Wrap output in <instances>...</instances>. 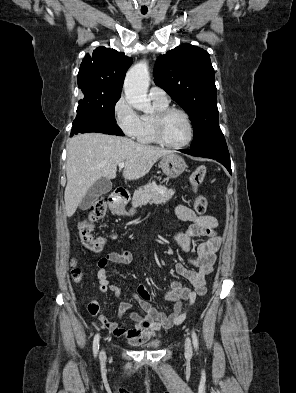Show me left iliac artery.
Wrapping results in <instances>:
<instances>
[{
  "instance_id": "1",
  "label": "left iliac artery",
  "mask_w": 296,
  "mask_h": 393,
  "mask_svg": "<svg viewBox=\"0 0 296 393\" xmlns=\"http://www.w3.org/2000/svg\"><path fill=\"white\" fill-rule=\"evenodd\" d=\"M192 339H193L194 348L197 350L198 349V339H197V335L194 331L192 332Z\"/></svg>"
}]
</instances>
